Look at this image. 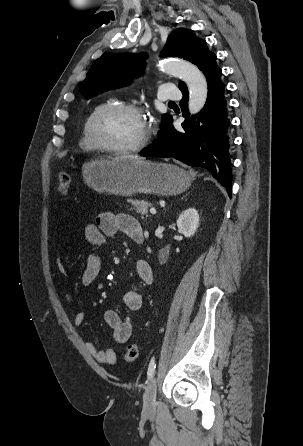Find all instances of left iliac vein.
Instances as JSON below:
<instances>
[{
    "label": "left iliac vein",
    "mask_w": 303,
    "mask_h": 446,
    "mask_svg": "<svg viewBox=\"0 0 303 446\" xmlns=\"http://www.w3.org/2000/svg\"><path fill=\"white\" fill-rule=\"evenodd\" d=\"M156 392L157 382L156 379L153 377L149 381L143 397L144 410L146 412H152L154 410L156 402Z\"/></svg>",
    "instance_id": "obj_1"
}]
</instances>
